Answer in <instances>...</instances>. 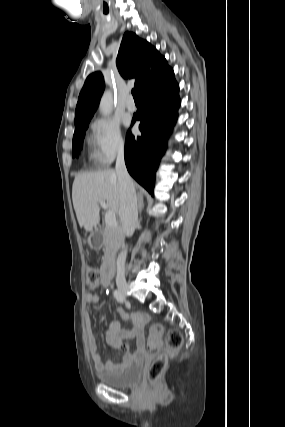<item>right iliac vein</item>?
Wrapping results in <instances>:
<instances>
[{
  "label": "right iliac vein",
  "mask_w": 285,
  "mask_h": 427,
  "mask_svg": "<svg viewBox=\"0 0 285 427\" xmlns=\"http://www.w3.org/2000/svg\"><path fill=\"white\" fill-rule=\"evenodd\" d=\"M116 283H117V287H118V289H119L120 293H121L123 296H126V295H127V292H128V284H127V281H126L125 279H117Z\"/></svg>",
  "instance_id": "obj_1"
}]
</instances>
